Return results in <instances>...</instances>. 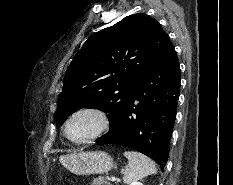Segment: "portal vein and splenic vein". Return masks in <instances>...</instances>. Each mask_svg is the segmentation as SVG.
I'll list each match as a JSON object with an SVG mask.
<instances>
[{"label":"portal vein and splenic vein","instance_id":"obj_1","mask_svg":"<svg viewBox=\"0 0 233 185\" xmlns=\"http://www.w3.org/2000/svg\"><path fill=\"white\" fill-rule=\"evenodd\" d=\"M108 180L114 182V181H116V178L115 177H109Z\"/></svg>","mask_w":233,"mask_h":185}]
</instances>
